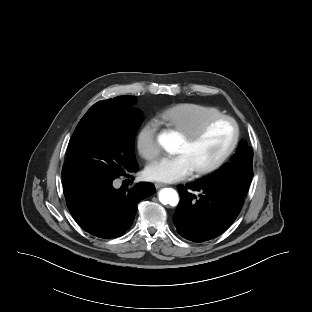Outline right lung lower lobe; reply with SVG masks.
<instances>
[{"mask_svg": "<svg viewBox=\"0 0 312 312\" xmlns=\"http://www.w3.org/2000/svg\"><path fill=\"white\" fill-rule=\"evenodd\" d=\"M137 169L138 165L130 172H136ZM114 179L66 197L68 209L75 221L86 232L104 239L123 235L132 225L137 203L155 192L153 184L144 182L130 190L126 187L115 189L112 186Z\"/></svg>", "mask_w": 312, "mask_h": 312, "instance_id": "right-lung-lower-lobe-1", "label": "right lung lower lobe"}]
</instances>
